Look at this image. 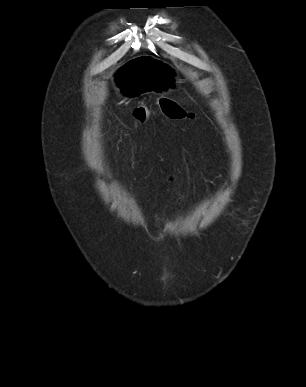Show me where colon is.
I'll return each mask as SVG.
<instances>
[{
  "instance_id": "1",
  "label": "colon",
  "mask_w": 306,
  "mask_h": 387,
  "mask_svg": "<svg viewBox=\"0 0 306 387\" xmlns=\"http://www.w3.org/2000/svg\"><path fill=\"white\" fill-rule=\"evenodd\" d=\"M159 105L163 113L172 119H190L193 117V114L177 103L169 99H160ZM149 108L147 105H140L136 107L133 111V116L139 123H144L148 117Z\"/></svg>"
}]
</instances>
